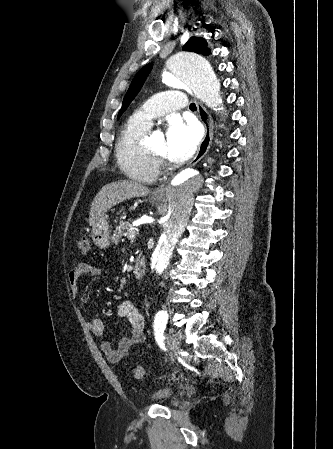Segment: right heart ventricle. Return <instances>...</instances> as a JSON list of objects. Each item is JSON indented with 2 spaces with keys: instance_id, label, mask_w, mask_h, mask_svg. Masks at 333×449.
Instances as JSON below:
<instances>
[{
  "instance_id": "1",
  "label": "right heart ventricle",
  "mask_w": 333,
  "mask_h": 449,
  "mask_svg": "<svg viewBox=\"0 0 333 449\" xmlns=\"http://www.w3.org/2000/svg\"><path fill=\"white\" fill-rule=\"evenodd\" d=\"M150 127L131 118L121 130L116 145L115 155L120 168L131 179L151 183L159 174V164L150 156L144 139Z\"/></svg>"
}]
</instances>
